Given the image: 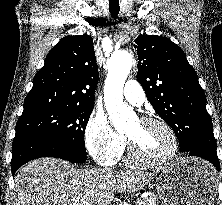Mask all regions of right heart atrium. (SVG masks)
<instances>
[{
	"label": "right heart atrium",
	"mask_w": 222,
	"mask_h": 205,
	"mask_svg": "<svg viewBox=\"0 0 222 205\" xmlns=\"http://www.w3.org/2000/svg\"><path fill=\"white\" fill-rule=\"evenodd\" d=\"M85 142L91 156L102 165H111L125 148V138L117 133L107 117L98 111L90 116L85 127Z\"/></svg>",
	"instance_id": "obj_1"
}]
</instances>
